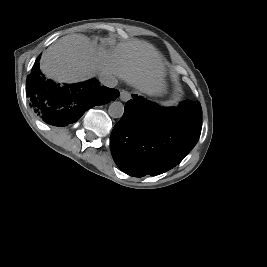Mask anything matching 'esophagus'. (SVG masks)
<instances>
[{
	"label": "esophagus",
	"instance_id": "esophagus-1",
	"mask_svg": "<svg viewBox=\"0 0 267 267\" xmlns=\"http://www.w3.org/2000/svg\"><path fill=\"white\" fill-rule=\"evenodd\" d=\"M131 95L128 91L122 90L120 92V100L123 102H127L128 100H130Z\"/></svg>",
	"mask_w": 267,
	"mask_h": 267
}]
</instances>
